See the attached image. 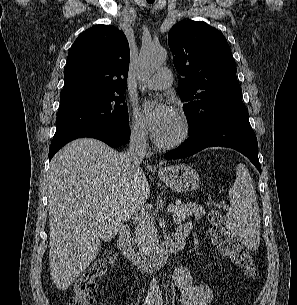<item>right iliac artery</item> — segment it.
Listing matches in <instances>:
<instances>
[{"instance_id":"right-iliac-artery-1","label":"right iliac artery","mask_w":297,"mask_h":305,"mask_svg":"<svg viewBox=\"0 0 297 305\" xmlns=\"http://www.w3.org/2000/svg\"><path fill=\"white\" fill-rule=\"evenodd\" d=\"M155 301V298L152 296H149L146 298L144 305H153Z\"/></svg>"}]
</instances>
